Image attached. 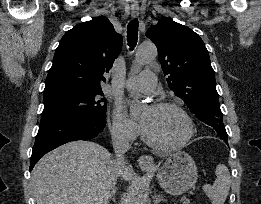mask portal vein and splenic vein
I'll list each match as a JSON object with an SVG mask.
<instances>
[{
  "label": "portal vein and splenic vein",
  "mask_w": 261,
  "mask_h": 204,
  "mask_svg": "<svg viewBox=\"0 0 261 204\" xmlns=\"http://www.w3.org/2000/svg\"><path fill=\"white\" fill-rule=\"evenodd\" d=\"M181 200H182V204H190V199L186 196H183Z\"/></svg>",
  "instance_id": "1"
}]
</instances>
